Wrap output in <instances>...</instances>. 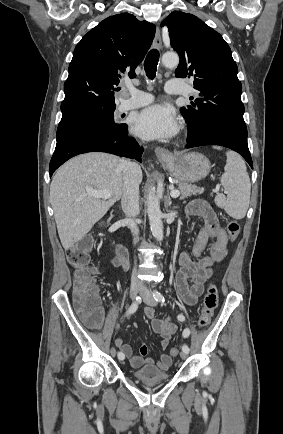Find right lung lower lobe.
<instances>
[{
    "instance_id": "obj_1",
    "label": "right lung lower lobe",
    "mask_w": 283,
    "mask_h": 434,
    "mask_svg": "<svg viewBox=\"0 0 283 434\" xmlns=\"http://www.w3.org/2000/svg\"><path fill=\"white\" fill-rule=\"evenodd\" d=\"M87 152H106L135 158L141 162L143 148L134 138L128 136L127 128L124 130L97 128L81 131L57 141L49 166L50 177L65 161Z\"/></svg>"
}]
</instances>
